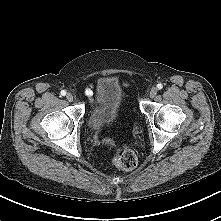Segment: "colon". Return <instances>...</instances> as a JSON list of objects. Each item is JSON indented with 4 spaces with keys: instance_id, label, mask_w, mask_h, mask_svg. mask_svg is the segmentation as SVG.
<instances>
[{
    "instance_id": "5ec220e1",
    "label": "colon",
    "mask_w": 221,
    "mask_h": 221,
    "mask_svg": "<svg viewBox=\"0 0 221 221\" xmlns=\"http://www.w3.org/2000/svg\"><path fill=\"white\" fill-rule=\"evenodd\" d=\"M104 143L112 144L110 140H105ZM113 163L120 169L128 171L132 170L137 166L138 158L136 153L127 147L117 148L114 156Z\"/></svg>"
}]
</instances>
